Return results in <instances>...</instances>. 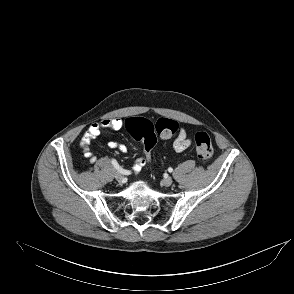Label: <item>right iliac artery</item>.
Returning <instances> with one entry per match:
<instances>
[{
	"instance_id": "obj_1",
	"label": "right iliac artery",
	"mask_w": 294,
	"mask_h": 294,
	"mask_svg": "<svg viewBox=\"0 0 294 294\" xmlns=\"http://www.w3.org/2000/svg\"><path fill=\"white\" fill-rule=\"evenodd\" d=\"M112 164H113V166L115 167V169H116L118 172H120V173H122V174H124V175H129V174H130V171L121 168V167L119 166V164L117 163L116 160L113 159V160H112Z\"/></svg>"
}]
</instances>
